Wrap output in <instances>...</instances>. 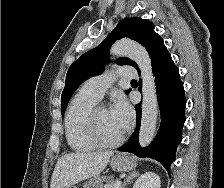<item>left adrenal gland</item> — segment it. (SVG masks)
Returning a JSON list of instances; mask_svg holds the SVG:
<instances>
[{"mask_svg":"<svg viewBox=\"0 0 224 188\" xmlns=\"http://www.w3.org/2000/svg\"><path fill=\"white\" fill-rule=\"evenodd\" d=\"M138 172L133 171L131 173H129V175L127 176V178L124 180L123 184L120 186V188H125V186L130 183L131 180H133L135 177H137Z\"/></svg>","mask_w":224,"mask_h":188,"instance_id":"obj_1","label":"left adrenal gland"}]
</instances>
